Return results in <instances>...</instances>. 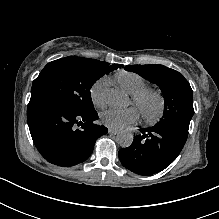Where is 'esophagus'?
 I'll use <instances>...</instances> for the list:
<instances>
[{
  "label": "esophagus",
  "mask_w": 219,
  "mask_h": 219,
  "mask_svg": "<svg viewBox=\"0 0 219 219\" xmlns=\"http://www.w3.org/2000/svg\"><path fill=\"white\" fill-rule=\"evenodd\" d=\"M108 132H109V134L117 135V134L119 133V130H116V129L111 128V129H109Z\"/></svg>",
  "instance_id": "obj_1"
}]
</instances>
